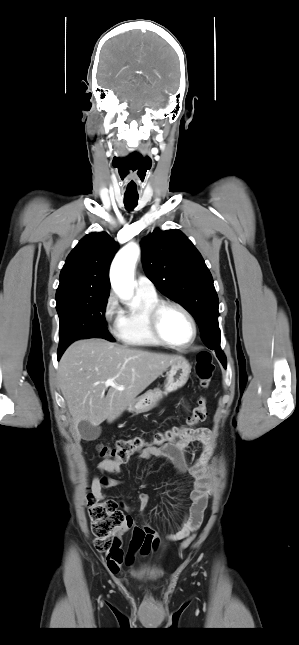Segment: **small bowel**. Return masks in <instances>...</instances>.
<instances>
[{"label":"small bowel","mask_w":299,"mask_h":645,"mask_svg":"<svg viewBox=\"0 0 299 645\" xmlns=\"http://www.w3.org/2000/svg\"><path fill=\"white\" fill-rule=\"evenodd\" d=\"M198 442L202 444L203 449L195 457H189L190 443ZM214 446V437L208 427L200 426L189 428L185 435L178 441L165 445L163 447L147 446L135 458L141 460H150L160 458L168 462L178 474L189 473L193 477L192 489L190 492L191 504L187 514L178 527V529L166 536L171 542H176L186 538L191 532L195 531L201 524L206 501L209 496L208 489V468ZM100 472L105 473L103 476H95L92 480V494L98 499L104 498V491L120 485V481L115 478L121 472V464L113 461H103L98 465ZM149 495L141 492L137 495L134 506H129L120 502L119 506L125 510L132 507L138 508L144 512L149 504ZM125 529H132L133 535L129 549L125 554L121 549L119 539L115 541L114 548L108 552L106 563L109 568L120 566L123 563L132 564L137 554L147 555L155 551L160 543L159 533L150 525L138 527L134 525L131 517H127ZM120 534V532H119Z\"/></svg>","instance_id":"small-bowel-1"}]
</instances>
